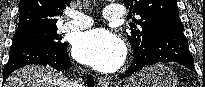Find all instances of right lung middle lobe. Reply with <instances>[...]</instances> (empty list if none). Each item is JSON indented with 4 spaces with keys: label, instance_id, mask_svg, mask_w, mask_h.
<instances>
[{
    "label": "right lung middle lobe",
    "instance_id": "1",
    "mask_svg": "<svg viewBox=\"0 0 205 87\" xmlns=\"http://www.w3.org/2000/svg\"><path fill=\"white\" fill-rule=\"evenodd\" d=\"M57 28L16 32L12 44L39 43L53 48H59L66 43L60 42Z\"/></svg>",
    "mask_w": 205,
    "mask_h": 87
}]
</instances>
